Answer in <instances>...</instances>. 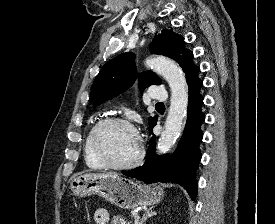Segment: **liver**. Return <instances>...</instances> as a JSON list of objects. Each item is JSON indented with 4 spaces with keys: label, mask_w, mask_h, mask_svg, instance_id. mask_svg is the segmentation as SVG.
Segmentation results:
<instances>
[{
    "label": "liver",
    "mask_w": 275,
    "mask_h": 224,
    "mask_svg": "<svg viewBox=\"0 0 275 224\" xmlns=\"http://www.w3.org/2000/svg\"><path fill=\"white\" fill-rule=\"evenodd\" d=\"M111 174H113V175H117L116 173H111Z\"/></svg>",
    "instance_id": "obj_1"
}]
</instances>
